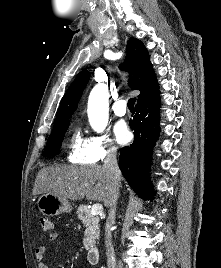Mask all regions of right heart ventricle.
<instances>
[{"label":"right heart ventricle","instance_id":"1","mask_svg":"<svg viewBox=\"0 0 221 268\" xmlns=\"http://www.w3.org/2000/svg\"><path fill=\"white\" fill-rule=\"evenodd\" d=\"M67 159L70 163L91 165L95 163L90 150L89 139L79 129H75L68 143Z\"/></svg>","mask_w":221,"mask_h":268}]
</instances>
